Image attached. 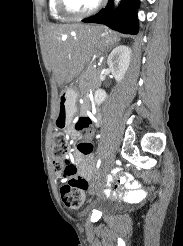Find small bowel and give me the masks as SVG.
Listing matches in <instances>:
<instances>
[{
	"instance_id": "c3829d8e",
	"label": "small bowel",
	"mask_w": 183,
	"mask_h": 246,
	"mask_svg": "<svg viewBox=\"0 0 183 246\" xmlns=\"http://www.w3.org/2000/svg\"><path fill=\"white\" fill-rule=\"evenodd\" d=\"M67 132L73 138L77 136V132L73 128H69ZM84 140L91 141V138H84ZM73 160L78 167L79 174L90 179L93 172L94 157H84L81 152L76 150L73 154ZM122 169L123 166L119 165L118 169L111 170L112 174H117V178H110L108 186L105 187L108 198H118V193H126L125 197L131 200L146 198L147 194L140 189L139 184L130 180L133 179V174H121ZM112 191H116V193Z\"/></svg>"
}]
</instances>
